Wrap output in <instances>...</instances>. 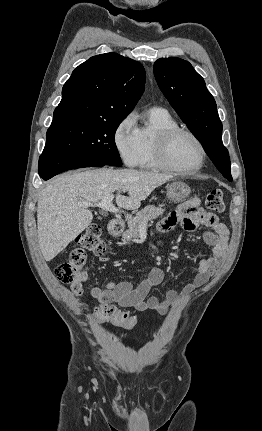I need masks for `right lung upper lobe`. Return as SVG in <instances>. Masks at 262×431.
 Here are the masks:
<instances>
[{"label":"right lung upper lobe","mask_w":262,"mask_h":431,"mask_svg":"<svg viewBox=\"0 0 262 431\" xmlns=\"http://www.w3.org/2000/svg\"><path fill=\"white\" fill-rule=\"evenodd\" d=\"M145 70L116 53L93 56L66 81L51 125L126 118L144 91Z\"/></svg>","instance_id":"right-lung-upper-lobe-1"}]
</instances>
